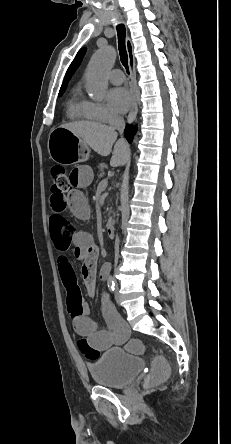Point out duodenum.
I'll return each mask as SVG.
<instances>
[{
	"mask_svg": "<svg viewBox=\"0 0 231 444\" xmlns=\"http://www.w3.org/2000/svg\"><path fill=\"white\" fill-rule=\"evenodd\" d=\"M105 229H106V234H107L108 237H110V238L115 237V234H116V222H115V220H112V219L109 220L106 223ZM101 277H102V279H105L107 277V273L105 271H103L101 273Z\"/></svg>",
	"mask_w": 231,
	"mask_h": 444,
	"instance_id": "obj_1",
	"label": "duodenum"
}]
</instances>
